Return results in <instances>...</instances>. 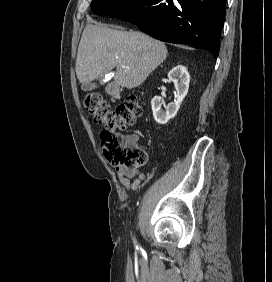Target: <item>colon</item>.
<instances>
[{"label":"colon","mask_w":272,"mask_h":282,"mask_svg":"<svg viewBox=\"0 0 272 282\" xmlns=\"http://www.w3.org/2000/svg\"><path fill=\"white\" fill-rule=\"evenodd\" d=\"M84 107L93 118L108 129L100 135L101 147L109 164L116 169L135 170L146 162V153L122 131L134 124L142 108L137 96L128 97L113 108L101 95L88 94Z\"/></svg>","instance_id":"1"}]
</instances>
